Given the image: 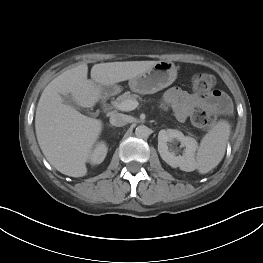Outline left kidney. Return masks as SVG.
I'll use <instances>...</instances> for the list:
<instances>
[{"label": "left kidney", "mask_w": 263, "mask_h": 263, "mask_svg": "<svg viewBox=\"0 0 263 263\" xmlns=\"http://www.w3.org/2000/svg\"><path fill=\"white\" fill-rule=\"evenodd\" d=\"M174 140L179 141L184 147V152L179 156L169 149V143ZM198 148L196 139L184 136V134L174 129H162L158 134V151L161 158L171 167H179L183 171H193L196 168L195 152Z\"/></svg>", "instance_id": "left-kidney-1"}]
</instances>
